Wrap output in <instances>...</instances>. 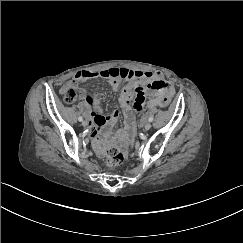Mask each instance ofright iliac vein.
Segmentation results:
<instances>
[{
    "label": "right iliac vein",
    "mask_w": 243,
    "mask_h": 243,
    "mask_svg": "<svg viewBox=\"0 0 243 243\" xmlns=\"http://www.w3.org/2000/svg\"><path fill=\"white\" fill-rule=\"evenodd\" d=\"M82 125H83V127H86L88 125V122L86 120H83Z\"/></svg>",
    "instance_id": "obj_1"
}]
</instances>
